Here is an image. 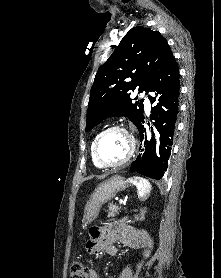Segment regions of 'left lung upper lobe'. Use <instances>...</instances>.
Masks as SVG:
<instances>
[{
	"mask_svg": "<svg viewBox=\"0 0 221 278\" xmlns=\"http://www.w3.org/2000/svg\"><path fill=\"white\" fill-rule=\"evenodd\" d=\"M172 51L158 32L143 26L128 31L108 60L99 67L90 92L86 131L105 117H128L138 128L143 116V101L132 104L130 92H149L166 70Z\"/></svg>",
	"mask_w": 221,
	"mask_h": 278,
	"instance_id": "1",
	"label": "left lung upper lobe"
}]
</instances>
